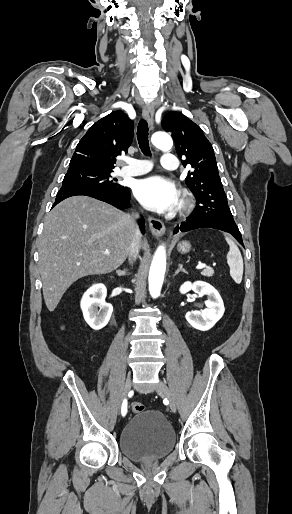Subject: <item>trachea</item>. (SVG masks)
Returning <instances> with one entry per match:
<instances>
[{
    "label": "trachea",
    "instance_id": "obj_1",
    "mask_svg": "<svg viewBox=\"0 0 292 514\" xmlns=\"http://www.w3.org/2000/svg\"><path fill=\"white\" fill-rule=\"evenodd\" d=\"M149 128L148 123L145 120H140L137 127V140L139 147L144 155L151 156L150 147H149Z\"/></svg>",
    "mask_w": 292,
    "mask_h": 514
}]
</instances>
